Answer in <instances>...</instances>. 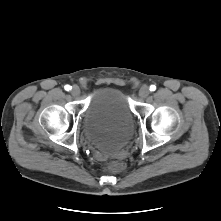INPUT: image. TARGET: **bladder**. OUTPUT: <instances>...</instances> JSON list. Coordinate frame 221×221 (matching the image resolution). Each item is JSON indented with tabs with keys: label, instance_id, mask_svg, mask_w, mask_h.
Instances as JSON below:
<instances>
[{
	"label": "bladder",
	"instance_id": "31cf9c89",
	"mask_svg": "<svg viewBox=\"0 0 221 221\" xmlns=\"http://www.w3.org/2000/svg\"><path fill=\"white\" fill-rule=\"evenodd\" d=\"M82 127L90 145L110 155L130 140L134 130V114L119 89L101 86L89 97Z\"/></svg>",
	"mask_w": 221,
	"mask_h": 221
}]
</instances>
